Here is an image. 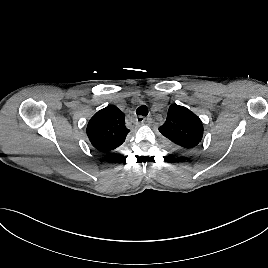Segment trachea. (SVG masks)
I'll use <instances>...</instances> for the list:
<instances>
[{"label":"trachea","mask_w":268,"mask_h":268,"mask_svg":"<svg viewBox=\"0 0 268 268\" xmlns=\"http://www.w3.org/2000/svg\"><path fill=\"white\" fill-rule=\"evenodd\" d=\"M137 115L141 116H147L148 115V108L146 105H141L140 107L137 108L136 110Z\"/></svg>","instance_id":"trachea-1"}]
</instances>
